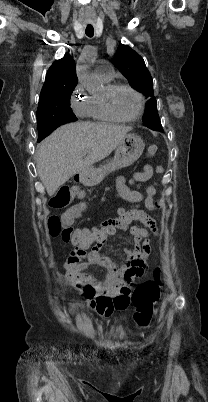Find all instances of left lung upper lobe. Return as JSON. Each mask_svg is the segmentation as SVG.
I'll return each mask as SVG.
<instances>
[{
	"label": "left lung upper lobe",
	"instance_id": "5c2ea615",
	"mask_svg": "<svg viewBox=\"0 0 208 402\" xmlns=\"http://www.w3.org/2000/svg\"><path fill=\"white\" fill-rule=\"evenodd\" d=\"M113 64L127 78L132 87L141 91L148 98L146 114L143 118L145 125L152 130L162 132L157 101L154 97L153 80L143 58L129 46L120 44Z\"/></svg>",
	"mask_w": 208,
	"mask_h": 402
}]
</instances>
